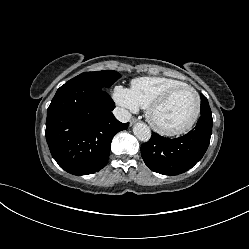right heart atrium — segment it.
<instances>
[{
	"label": "right heart atrium",
	"mask_w": 249,
	"mask_h": 249,
	"mask_svg": "<svg viewBox=\"0 0 249 249\" xmlns=\"http://www.w3.org/2000/svg\"><path fill=\"white\" fill-rule=\"evenodd\" d=\"M113 95H114V100L118 105L130 111L138 110L139 105L135 101L130 89L118 85L114 88Z\"/></svg>",
	"instance_id": "obj_1"
}]
</instances>
